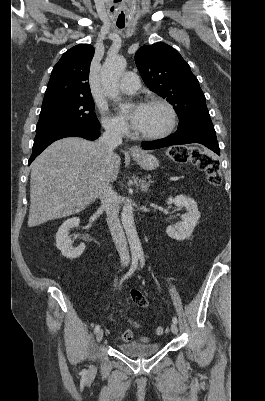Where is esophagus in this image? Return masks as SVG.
Returning a JSON list of instances; mask_svg holds the SVG:
<instances>
[{
    "instance_id": "esophagus-1",
    "label": "esophagus",
    "mask_w": 265,
    "mask_h": 401,
    "mask_svg": "<svg viewBox=\"0 0 265 401\" xmlns=\"http://www.w3.org/2000/svg\"><path fill=\"white\" fill-rule=\"evenodd\" d=\"M129 151H130L131 154H135V153L138 151V149H137L136 146H132V147L129 149Z\"/></svg>"
}]
</instances>
